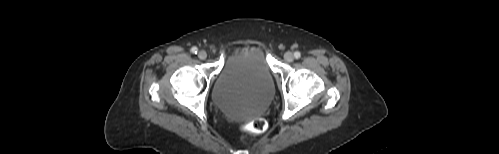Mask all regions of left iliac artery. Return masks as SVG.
Returning a JSON list of instances; mask_svg holds the SVG:
<instances>
[{
    "label": "left iliac artery",
    "instance_id": "44dca946",
    "mask_svg": "<svg viewBox=\"0 0 499 154\" xmlns=\"http://www.w3.org/2000/svg\"><path fill=\"white\" fill-rule=\"evenodd\" d=\"M294 57H295L296 59H299V58L301 57L300 52L296 51V52L294 53Z\"/></svg>",
    "mask_w": 499,
    "mask_h": 154
}]
</instances>
